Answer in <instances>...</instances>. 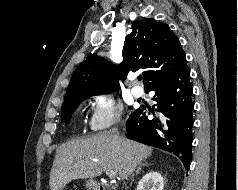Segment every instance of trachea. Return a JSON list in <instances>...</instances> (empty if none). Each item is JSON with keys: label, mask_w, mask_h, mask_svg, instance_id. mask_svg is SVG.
I'll use <instances>...</instances> for the list:
<instances>
[{"label": "trachea", "mask_w": 238, "mask_h": 190, "mask_svg": "<svg viewBox=\"0 0 238 190\" xmlns=\"http://www.w3.org/2000/svg\"><path fill=\"white\" fill-rule=\"evenodd\" d=\"M138 80L141 81V80H142V76H139V77H138Z\"/></svg>", "instance_id": "1"}]
</instances>
